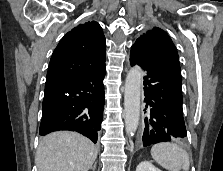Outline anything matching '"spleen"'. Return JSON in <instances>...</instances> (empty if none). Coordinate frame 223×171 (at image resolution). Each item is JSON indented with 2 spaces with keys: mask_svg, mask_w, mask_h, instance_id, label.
Segmentation results:
<instances>
[{
  "mask_svg": "<svg viewBox=\"0 0 223 171\" xmlns=\"http://www.w3.org/2000/svg\"><path fill=\"white\" fill-rule=\"evenodd\" d=\"M151 156L168 171H189V155L178 144L171 142L155 144L151 148Z\"/></svg>",
  "mask_w": 223,
  "mask_h": 171,
  "instance_id": "obj_1",
  "label": "spleen"
}]
</instances>
